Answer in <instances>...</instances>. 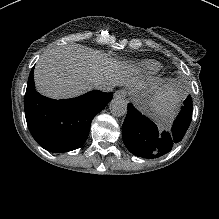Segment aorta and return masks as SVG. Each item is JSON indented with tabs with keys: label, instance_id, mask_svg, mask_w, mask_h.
<instances>
[{
	"label": "aorta",
	"instance_id": "762f6f07",
	"mask_svg": "<svg viewBox=\"0 0 219 219\" xmlns=\"http://www.w3.org/2000/svg\"><path fill=\"white\" fill-rule=\"evenodd\" d=\"M109 110L113 117H123L127 113V103L121 98H114L109 103Z\"/></svg>",
	"mask_w": 219,
	"mask_h": 219
}]
</instances>
